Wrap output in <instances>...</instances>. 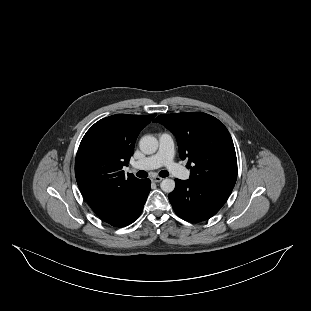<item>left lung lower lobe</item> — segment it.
I'll return each mask as SVG.
<instances>
[{"mask_svg":"<svg viewBox=\"0 0 311 311\" xmlns=\"http://www.w3.org/2000/svg\"><path fill=\"white\" fill-rule=\"evenodd\" d=\"M176 187L169 200L176 214L189 222H200L215 215L232 190L175 179Z\"/></svg>","mask_w":311,"mask_h":311,"instance_id":"0a47b994","label":"left lung lower lobe"}]
</instances>
